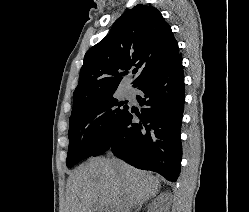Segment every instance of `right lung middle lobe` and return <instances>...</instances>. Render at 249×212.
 Listing matches in <instances>:
<instances>
[{
    "mask_svg": "<svg viewBox=\"0 0 249 212\" xmlns=\"http://www.w3.org/2000/svg\"><path fill=\"white\" fill-rule=\"evenodd\" d=\"M127 109L128 106L118 102L114 95L72 109L69 119L67 167L70 168L88 157L98 156L97 153L110 130Z\"/></svg>",
    "mask_w": 249,
    "mask_h": 212,
    "instance_id": "right-lung-middle-lobe-1",
    "label": "right lung middle lobe"
}]
</instances>
